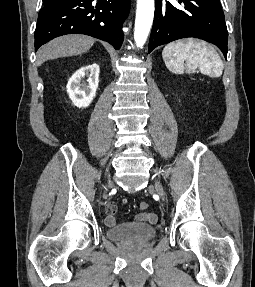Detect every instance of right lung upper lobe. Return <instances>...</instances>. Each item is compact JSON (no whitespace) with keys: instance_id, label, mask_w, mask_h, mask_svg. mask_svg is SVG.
<instances>
[{"instance_id":"1","label":"right lung upper lobe","mask_w":255,"mask_h":287,"mask_svg":"<svg viewBox=\"0 0 255 287\" xmlns=\"http://www.w3.org/2000/svg\"><path fill=\"white\" fill-rule=\"evenodd\" d=\"M50 1H51V0H44L45 3H48V2H50Z\"/></svg>"}]
</instances>
